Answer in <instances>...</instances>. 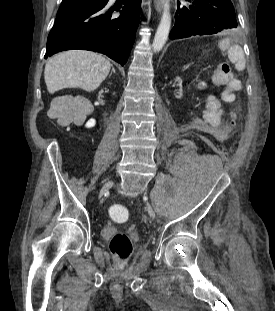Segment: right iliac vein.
Masks as SVG:
<instances>
[{"label":"right iliac vein","instance_id":"right-iliac-vein-1","mask_svg":"<svg viewBox=\"0 0 275 311\" xmlns=\"http://www.w3.org/2000/svg\"><path fill=\"white\" fill-rule=\"evenodd\" d=\"M112 185H113V182L111 180L104 183V185L102 186L100 190L99 196L101 197L109 188H111Z\"/></svg>","mask_w":275,"mask_h":311}]
</instances>
